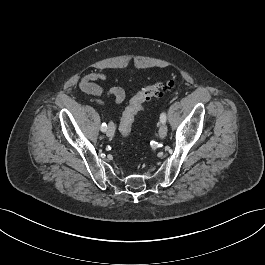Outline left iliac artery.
I'll return each mask as SVG.
<instances>
[{"instance_id": "left-iliac-artery-1", "label": "left iliac artery", "mask_w": 265, "mask_h": 265, "mask_svg": "<svg viewBox=\"0 0 265 265\" xmlns=\"http://www.w3.org/2000/svg\"><path fill=\"white\" fill-rule=\"evenodd\" d=\"M160 121L162 122V123H165L166 122V113H162L161 115H160Z\"/></svg>"}]
</instances>
